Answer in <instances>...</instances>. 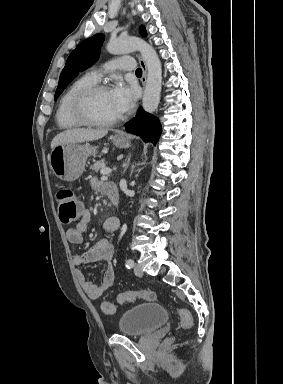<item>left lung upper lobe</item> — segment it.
I'll return each mask as SVG.
<instances>
[{"instance_id":"1","label":"left lung upper lobe","mask_w":283,"mask_h":384,"mask_svg":"<svg viewBox=\"0 0 283 384\" xmlns=\"http://www.w3.org/2000/svg\"><path fill=\"white\" fill-rule=\"evenodd\" d=\"M142 36H146V30L140 27ZM104 35L99 33L82 41L69 55L65 67L61 72L55 99L63 92L66 86L79 74L89 68L99 57V50Z\"/></svg>"}]
</instances>
